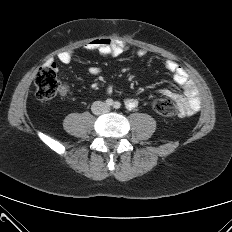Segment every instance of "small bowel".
<instances>
[{
  "mask_svg": "<svg viewBox=\"0 0 232 232\" xmlns=\"http://www.w3.org/2000/svg\"><path fill=\"white\" fill-rule=\"evenodd\" d=\"M128 48V45L123 41L110 37L98 38L84 45L86 51H95L102 55H119L127 51ZM137 55L140 58H146L148 56V51L139 49L137 50ZM57 59L60 64L67 65L73 59V52L62 51L58 54ZM164 67L171 74L173 82L181 87L183 93L180 94L168 89H161L158 93L175 101L182 116H189L198 112L201 101L197 87L187 71L171 59H165ZM100 71L101 69L97 66H91L89 68V72L92 74H99ZM106 90L110 93L112 88L108 86ZM66 93L67 89L64 87L62 89V94L65 95ZM124 104L127 109L132 110L137 107L138 101L134 97H128L125 99Z\"/></svg>",
  "mask_w": 232,
  "mask_h": 232,
  "instance_id": "small-bowel-1",
  "label": "small bowel"
}]
</instances>
